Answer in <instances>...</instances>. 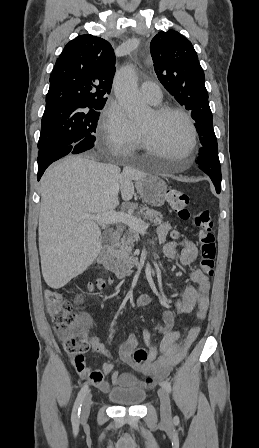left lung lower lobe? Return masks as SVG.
Returning <instances> with one entry per match:
<instances>
[{
    "label": "left lung lower lobe",
    "mask_w": 259,
    "mask_h": 448,
    "mask_svg": "<svg viewBox=\"0 0 259 448\" xmlns=\"http://www.w3.org/2000/svg\"><path fill=\"white\" fill-rule=\"evenodd\" d=\"M197 164L212 180L217 193L221 190V166L218 157L217 142L207 144L199 149Z\"/></svg>",
    "instance_id": "1"
}]
</instances>
